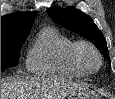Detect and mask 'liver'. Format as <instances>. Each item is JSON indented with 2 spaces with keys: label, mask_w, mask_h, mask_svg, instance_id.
Instances as JSON below:
<instances>
[{
  "label": "liver",
  "mask_w": 115,
  "mask_h": 99,
  "mask_svg": "<svg viewBox=\"0 0 115 99\" xmlns=\"http://www.w3.org/2000/svg\"><path fill=\"white\" fill-rule=\"evenodd\" d=\"M83 84L57 77H17L1 80V99H63Z\"/></svg>",
  "instance_id": "liver-1"
}]
</instances>
